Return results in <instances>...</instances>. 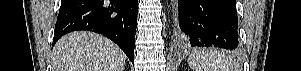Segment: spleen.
<instances>
[{
    "instance_id": "spleen-1",
    "label": "spleen",
    "mask_w": 301,
    "mask_h": 71,
    "mask_svg": "<svg viewBox=\"0 0 301 71\" xmlns=\"http://www.w3.org/2000/svg\"><path fill=\"white\" fill-rule=\"evenodd\" d=\"M187 61L194 71H238L237 61L224 52L198 51L191 54Z\"/></svg>"
}]
</instances>
